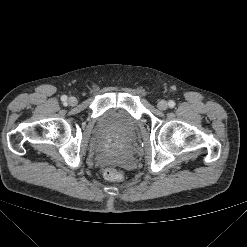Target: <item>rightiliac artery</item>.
<instances>
[{
  "mask_svg": "<svg viewBox=\"0 0 247 247\" xmlns=\"http://www.w3.org/2000/svg\"><path fill=\"white\" fill-rule=\"evenodd\" d=\"M61 100H62L63 102H66V101H67V96L63 95V96L61 97Z\"/></svg>",
  "mask_w": 247,
  "mask_h": 247,
  "instance_id": "1",
  "label": "right iliac artery"
}]
</instances>
